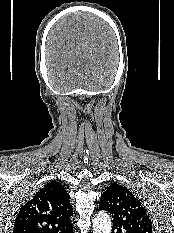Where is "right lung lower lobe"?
<instances>
[{"mask_svg":"<svg viewBox=\"0 0 174 233\" xmlns=\"http://www.w3.org/2000/svg\"><path fill=\"white\" fill-rule=\"evenodd\" d=\"M68 233H73V227L68 231Z\"/></svg>","mask_w":174,"mask_h":233,"instance_id":"obj_1","label":"right lung lower lobe"}]
</instances>
